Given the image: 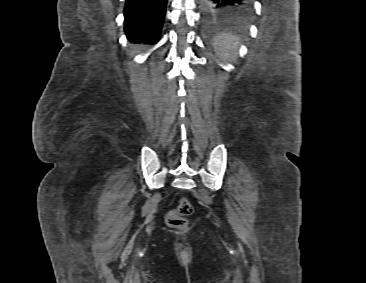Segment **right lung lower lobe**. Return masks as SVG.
Segmentation results:
<instances>
[{"instance_id":"obj_1","label":"right lung lower lobe","mask_w":366,"mask_h":283,"mask_svg":"<svg viewBox=\"0 0 366 283\" xmlns=\"http://www.w3.org/2000/svg\"><path fill=\"white\" fill-rule=\"evenodd\" d=\"M167 0H126L125 33L131 42L156 44Z\"/></svg>"}]
</instances>
